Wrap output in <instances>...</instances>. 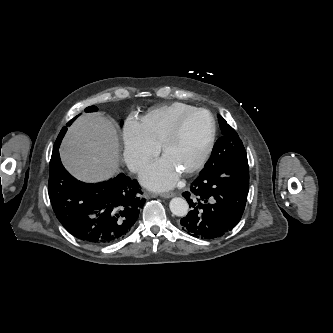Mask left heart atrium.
Segmentation results:
<instances>
[{
  "instance_id": "1",
  "label": "left heart atrium",
  "mask_w": 333,
  "mask_h": 333,
  "mask_svg": "<svg viewBox=\"0 0 333 333\" xmlns=\"http://www.w3.org/2000/svg\"><path fill=\"white\" fill-rule=\"evenodd\" d=\"M141 181L148 188L164 191L172 188L179 178V171L165 157L147 166L141 173Z\"/></svg>"
}]
</instances>
